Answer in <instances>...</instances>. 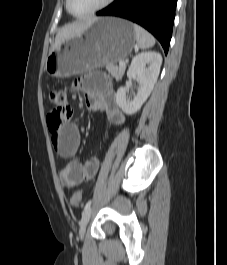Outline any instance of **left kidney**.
Returning <instances> with one entry per match:
<instances>
[{
  "label": "left kidney",
  "mask_w": 227,
  "mask_h": 265,
  "mask_svg": "<svg viewBox=\"0 0 227 265\" xmlns=\"http://www.w3.org/2000/svg\"><path fill=\"white\" fill-rule=\"evenodd\" d=\"M162 56L157 52H143L136 55L127 71L129 79H137L140 87L133 99L128 98L127 88L120 87L116 93L117 105L128 115L136 113L149 97L159 76Z\"/></svg>",
  "instance_id": "obj_1"
}]
</instances>
